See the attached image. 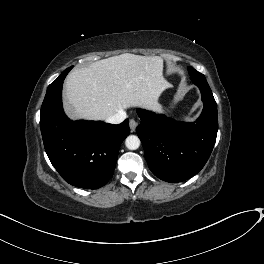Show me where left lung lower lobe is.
<instances>
[{"mask_svg": "<svg viewBox=\"0 0 264 264\" xmlns=\"http://www.w3.org/2000/svg\"><path fill=\"white\" fill-rule=\"evenodd\" d=\"M201 91L203 111L194 123L177 122L161 114L138 109L136 132L152 173L166 182H182L196 175L214 147L217 105L205 79L191 78Z\"/></svg>", "mask_w": 264, "mask_h": 264, "instance_id": "1", "label": "left lung lower lobe"}]
</instances>
